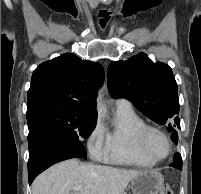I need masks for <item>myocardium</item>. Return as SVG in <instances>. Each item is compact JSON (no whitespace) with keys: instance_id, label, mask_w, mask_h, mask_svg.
Here are the masks:
<instances>
[{"instance_id":"myocardium-1","label":"myocardium","mask_w":201,"mask_h":194,"mask_svg":"<svg viewBox=\"0 0 201 194\" xmlns=\"http://www.w3.org/2000/svg\"><path fill=\"white\" fill-rule=\"evenodd\" d=\"M150 132H157L159 133L165 140H166V143H167V146H168V151L166 153L165 156L161 157V158H156V157H153L148 149H147V146H146V142H147V137L149 135ZM138 145H139V148L141 150V152L148 158L150 159L151 161L157 163V162H161L165 159H167L171 152H172V142H171V139L169 137V135L161 128L155 126V125H150V124H145L141 130L139 131V134H138Z\"/></svg>"}]
</instances>
